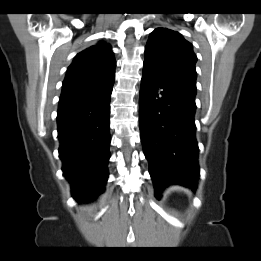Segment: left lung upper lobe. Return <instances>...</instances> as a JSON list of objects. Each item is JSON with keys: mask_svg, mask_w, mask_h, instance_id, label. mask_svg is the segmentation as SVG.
I'll return each instance as SVG.
<instances>
[{"mask_svg": "<svg viewBox=\"0 0 261 261\" xmlns=\"http://www.w3.org/2000/svg\"><path fill=\"white\" fill-rule=\"evenodd\" d=\"M196 61L191 43L180 33L157 28L150 34L145 48L144 66L196 88Z\"/></svg>", "mask_w": 261, "mask_h": 261, "instance_id": "5c2ea615", "label": "left lung upper lobe"}]
</instances>
